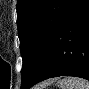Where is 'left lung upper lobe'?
<instances>
[{"instance_id":"5c2ea615","label":"left lung upper lobe","mask_w":89,"mask_h":89,"mask_svg":"<svg viewBox=\"0 0 89 89\" xmlns=\"http://www.w3.org/2000/svg\"><path fill=\"white\" fill-rule=\"evenodd\" d=\"M71 1H17V27L23 60L21 89H26L36 74L52 45L55 30Z\"/></svg>"}]
</instances>
